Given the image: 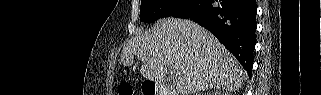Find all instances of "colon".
<instances>
[{
    "mask_svg": "<svg viewBox=\"0 0 321 95\" xmlns=\"http://www.w3.org/2000/svg\"><path fill=\"white\" fill-rule=\"evenodd\" d=\"M118 91L120 95H133V89L129 83L120 84Z\"/></svg>",
    "mask_w": 321,
    "mask_h": 95,
    "instance_id": "1",
    "label": "colon"
}]
</instances>
